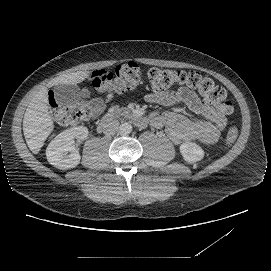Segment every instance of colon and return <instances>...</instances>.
<instances>
[{"label": "colon", "instance_id": "colon-1", "mask_svg": "<svg viewBox=\"0 0 271 271\" xmlns=\"http://www.w3.org/2000/svg\"><path fill=\"white\" fill-rule=\"evenodd\" d=\"M141 80V72L133 61L119 64L114 72L102 71L92 78L95 90L108 94L124 93L134 89ZM148 82L154 94H160L175 85H183L197 91L204 100L223 115L233 112V106L226 101V90L212 79L204 77L196 71H176L154 67L148 71ZM50 111L53 118L63 125H75L86 121L96 113L101 104L98 101L81 105L63 106L50 94ZM238 136V130L232 127L225 137V146H231Z\"/></svg>", "mask_w": 271, "mask_h": 271}]
</instances>
